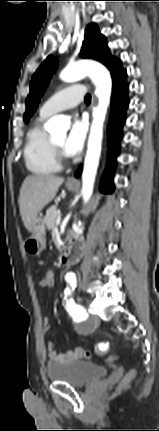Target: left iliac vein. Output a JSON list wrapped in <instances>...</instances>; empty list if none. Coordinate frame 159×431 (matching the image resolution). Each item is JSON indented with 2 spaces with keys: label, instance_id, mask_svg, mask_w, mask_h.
Returning <instances> with one entry per match:
<instances>
[{
  "label": "left iliac vein",
  "instance_id": "1",
  "mask_svg": "<svg viewBox=\"0 0 159 431\" xmlns=\"http://www.w3.org/2000/svg\"><path fill=\"white\" fill-rule=\"evenodd\" d=\"M90 324H97L98 323V317L96 316V315H93L91 318H90Z\"/></svg>",
  "mask_w": 159,
  "mask_h": 431
}]
</instances>
